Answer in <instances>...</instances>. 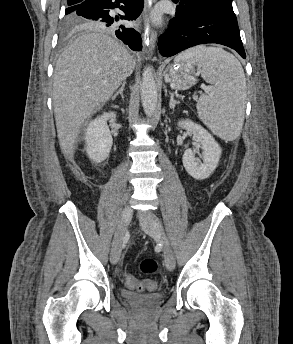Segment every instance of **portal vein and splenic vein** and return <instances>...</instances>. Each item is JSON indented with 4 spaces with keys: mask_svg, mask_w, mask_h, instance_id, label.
Listing matches in <instances>:
<instances>
[{
    "mask_svg": "<svg viewBox=\"0 0 293 344\" xmlns=\"http://www.w3.org/2000/svg\"><path fill=\"white\" fill-rule=\"evenodd\" d=\"M205 92H209L210 91V87H204Z\"/></svg>",
    "mask_w": 293,
    "mask_h": 344,
    "instance_id": "obj_1",
    "label": "portal vein and splenic vein"
}]
</instances>
